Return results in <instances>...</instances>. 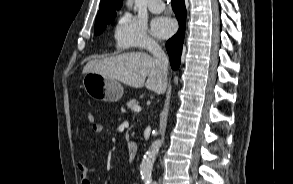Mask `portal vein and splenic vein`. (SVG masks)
Instances as JSON below:
<instances>
[{
	"label": "portal vein and splenic vein",
	"mask_w": 293,
	"mask_h": 184,
	"mask_svg": "<svg viewBox=\"0 0 293 184\" xmlns=\"http://www.w3.org/2000/svg\"><path fill=\"white\" fill-rule=\"evenodd\" d=\"M134 112H140L141 111V107L140 106H135L133 109H132Z\"/></svg>",
	"instance_id": "1"
}]
</instances>
